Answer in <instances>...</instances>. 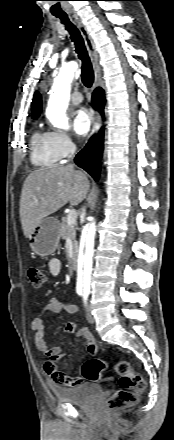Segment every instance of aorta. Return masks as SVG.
I'll return each instance as SVG.
<instances>
[{"label": "aorta", "instance_id": "762f6f07", "mask_svg": "<svg viewBox=\"0 0 174 440\" xmlns=\"http://www.w3.org/2000/svg\"><path fill=\"white\" fill-rule=\"evenodd\" d=\"M77 69L76 62L67 63L60 69L54 79L53 92L50 95L46 110V115L54 127L64 130L69 129L68 118L65 113L69 104L71 83ZM95 233V221L87 223L82 231L77 281V287L80 290L90 289Z\"/></svg>", "mask_w": 174, "mask_h": 440}]
</instances>
